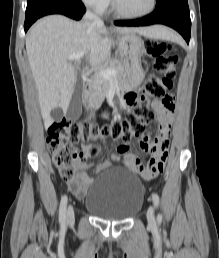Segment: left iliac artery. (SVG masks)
I'll return each mask as SVG.
<instances>
[{
	"mask_svg": "<svg viewBox=\"0 0 219 258\" xmlns=\"http://www.w3.org/2000/svg\"><path fill=\"white\" fill-rule=\"evenodd\" d=\"M152 200H153L154 206L157 208L158 205H159V202H160L158 194L153 193L152 194Z\"/></svg>",
	"mask_w": 219,
	"mask_h": 258,
	"instance_id": "1",
	"label": "left iliac artery"
}]
</instances>
